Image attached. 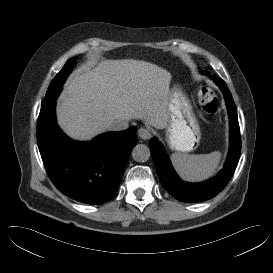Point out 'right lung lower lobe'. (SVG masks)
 I'll return each instance as SVG.
<instances>
[{
	"label": "right lung lower lobe",
	"mask_w": 273,
	"mask_h": 273,
	"mask_svg": "<svg viewBox=\"0 0 273 273\" xmlns=\"http://www.w3.org/2000/svg\"><path fill=\"white\" fill-rule=\"evenodd\" d=\"M62 88L45 97L38 117V148L47 173L64 195L86 204H102L118 190L136 145V127L108 132L89 142L69 139L58 127L56 100Z\"/></svg>",
	"instance_id": "98d812e1"
}]
</instances>
